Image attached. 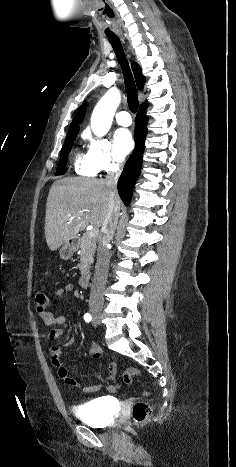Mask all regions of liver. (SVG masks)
Wrapping results in <instances>:
<instances>
[{
	"instance_id": "obj_1",
	"label": "liver",
	"mask_w": 236,
	"mask_h": 467,
	"mask_svg": "<svg viewBox=\"0 0 236 467\" xmlns=\"http://www.w3.org/2000/svg\"><path fill=\"white\" fill-rule=\"evenodd\" d=\"M110 190L103 179L63 178L55 181L46 203L45 237L51 251L74 239L89 224L102 226L108 212ZM114 203L120 208L118 195ZM68 215L73 218L68 219Z\"/></svg>"
}]
</instances>
